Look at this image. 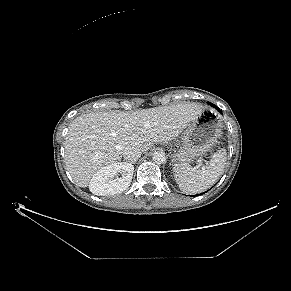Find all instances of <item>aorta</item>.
Returning <instances> with one entry per match:
<instances>
[{
	"label": "aorta",
	"mask_w": 291,
	"mask_h": 291,
	"mask_svg": "<svg viewBox=\"0 0 291 291\" xmlns=\"http://www.w3.org/2000/svg\"><path fill=\"white\" fill-rule=\"evenodd\" d=\"M152 159L157 164H162L166 161V155L163 151H155L152 155Z\"/></svg>",
	"instance_id": "762f6f07"
}]
</instances>
